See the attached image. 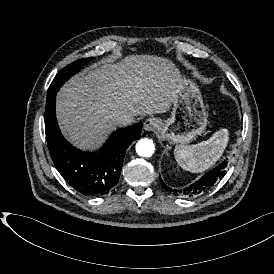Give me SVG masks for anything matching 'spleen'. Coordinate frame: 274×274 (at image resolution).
Listing matches in <instances>:
<instances>
[{"label":"spleen","instance_id":"1","mask_svg":"<svg viewBox=\"0 0 274 274\" xmlns=\"http://www.w3.org/2000/svg\"><path fill=\"white\" fill-rule=\"evenodd\" d=\"M227 138V129H221L208 140L196 144L177 145L175 158L186 170L191 172L203 171L213 165L221 156Z\"/></svg>","mask_w":274,"mask_h":274}]
</instances>
